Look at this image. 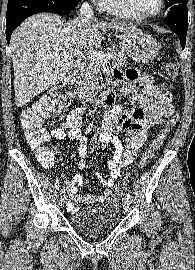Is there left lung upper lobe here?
<instances>
[{
    "label": "left lung upper lobe",
    "mask_w": 195,
    "mask_h": 270,
    "mask_svg": "<svg viewBox=\"0 0 195 270\" xmlns=\"http://www.w3.org/2000/svg\"><path fill=\"white\" fill-rule=\"evenodd\" d=\"M165 1V7L169 8L173 5L180 4V3H187V0H164Z\"/></svg>",
    "instance_id": "1"
}]
</instances>
